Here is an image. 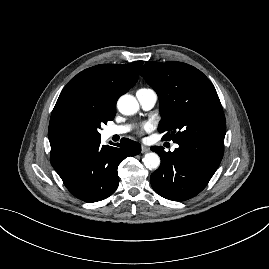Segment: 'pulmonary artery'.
<instances>
[{
	"instance_id": "obj_1",
	"label": "pulmonary artery",
	"mask_w": 269,
	"mask_h": 269,
	"mask_svg": "<svg viewBox=\"0 0 269 269\" xmlns=\"http://www.w3.org/2000/svg\"><path fill=\"white\" fill-rule=\"evenodd\" d=\"M137 99L144 110L152 109L157 102V95L151 89H140L136 93ZM129 130L128 126H112L106 130V135L111 137L114 135H121ZM177 146L174 145V148Z\"/></svg>"
}]
</instances>
